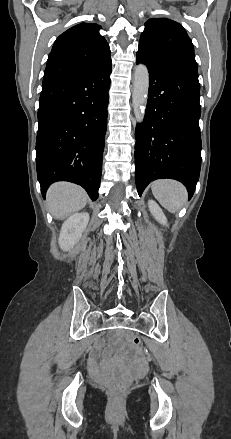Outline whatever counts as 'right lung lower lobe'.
Returning a JSON list of instances; mask_svg holds the SVG:
<instances>
[{"label":"right lung lower lobe","instance_id":"obj_1","mask_svg":"<svg viewBox=\"0 0 231 439\" xmlns=\"http://www.w3.org/2000/svg\"><path fill=\"white\" fill-rule=\"evenodd\" d=\"M112 63L84 76L44 84L38 111L36 167L43 197L55 181L98 198Z\"/></svg>","mask_w":231,"mask_h":439}]
</instances>
